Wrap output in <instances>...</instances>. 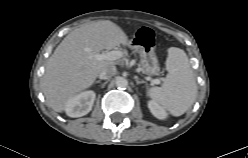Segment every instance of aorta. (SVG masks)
<instances>
[{
  "instance_id": "1",
  "label": "aorta",
  "mask_w": 248,
  "mask_h": 158,
  "mask_svg": "<svg viewBox=\"0 0 248 158\" xmlns=\"http://www.w3.org/2000/svg\"><path fill=\"white\" fill-rule=\"evenodd\" d=\"M116 86L120 89L126 88L128 86V80L121 77L117 79Z\"/></svg>"
}]
</instances>
